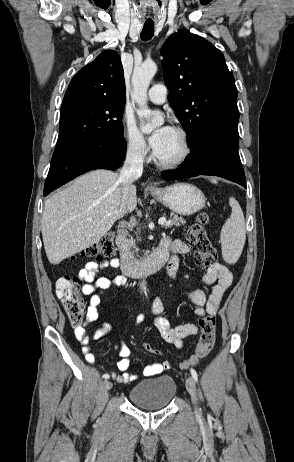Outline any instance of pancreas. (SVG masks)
<instances>
[{
  "label": "pancreas",
  "mask_w": 294,
  "mask_h": 462,
  "mask_svg": "<svg viewBox=\"0 0 294 462\" xmlns=\"http://www.w3.org/2000/svg\"><path fill=\"white\" fill-rule=\"evenodd\" d=\"M169 222H170L169 224L164 225L165 228L171 227L173 225L180 226V225H184L186 223V221L182 217H179L176 214H171V219L169 220ZM128 246H129L130 249L132 248V249H134V251H138V248H136V245H135V240L133 238H131L128 241ZM133 252L129 253L130 257H132V258H133Z\"/></svg>",
  "instance_id": "pancreas-1"
}]
</instances>
